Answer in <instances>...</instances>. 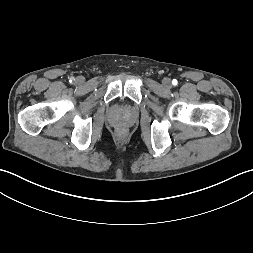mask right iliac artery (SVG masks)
<instances>
[{"instance_id":"1","label":"right iliac artery","mask_w":253,"mask_h":253,"mask_svg":"<svg viewBox=\"0 0 253 253\" xmlns=\"http://www.w3.org/2000/svg\"><path fill=\"white\" fill-rule=\"evenodd\" d=\"M69 81L72 83V82L75 81V78H74V77H71Z\"/></svg>"}]
</instances>
